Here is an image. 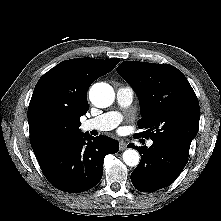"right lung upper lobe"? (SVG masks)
Listing matches in <instances>:
<instances>
[{"label":"right lung upper lobe","mask_w":221,"mask_h":221,"mask_svg":"<svg viewBox=\"0 0 221 221\" xmlns=\"http://www.w3.org/2000/svg\"><path fill=\"white\" fill-rule=\"evenodd\" d=\"M120 59L66 60L45 73L35 86L29 108L30 142L40 159L56 147L80 137V117L89 109L87 91Z\"/></svg>","instance_id":"obj_1"}]
</instances>
